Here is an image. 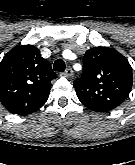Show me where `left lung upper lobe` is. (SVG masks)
<instances>
[{"mask_svg": "<svg viewBox=\"0 0 135 165\" xmlns=\"http://www.w3.org/2000/svg\"><path fill=\"white\" fill-rule=\"evenodd\" d=\"M83 61V75L74 82L81 103L98 112H107L123 103L133 80L128 60L113 48L94 47L86 51Z\"/></svg>", "mask_w": 135, "mask_h": 165, "instance_id": "left-lung-upper-lobe-1", "label": "left lung upper lobe"}]
</instances>
